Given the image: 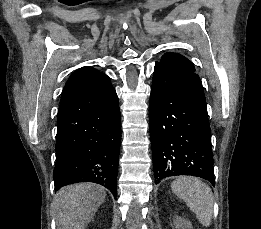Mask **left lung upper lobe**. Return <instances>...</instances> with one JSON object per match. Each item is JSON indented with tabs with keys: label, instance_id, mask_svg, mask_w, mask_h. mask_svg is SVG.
Listing matches in <instances>:
<instances>
[{
	"label": "left lung upper lobe",
	"instance_id": "left-lung-upper-lobe-1",
	"mask_svg": "<svg viewBox=\"0 0 261 229\" xmlns=\"http://www.w3.org/2000/svg\"><path fill=\"white\" fill-rule=\"evenodd\" d=\"M156 63L162 64V65H165V66H168L171 68H177V69L186 70V71H195L193 63L178 53H173V52L165 53L162 56L161 61L156 62Z\"/></svg>",
	"mask_w": 261,
	"mask_h": 229
}]
</instances>
